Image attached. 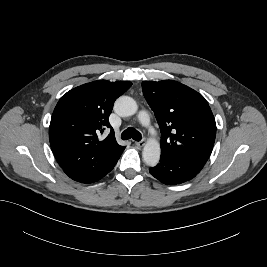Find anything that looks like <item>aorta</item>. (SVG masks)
Returning <instances> with one entry per match:
<instances>
[{"label": "aorta", "instance_id": "1", "mask_svg": "<svg viewBox=\"0 0 267 267\" xmlns=\"http://www.w3.org/2000/svg\"><path fill=\"white\" fill-rule=\"evenodd\" d=\"M138 110L136 101L129 96H120L114 104V111L121 117L134 115ZM161 154L160 143L157 140L150 139L146 142L142 157L144 162L151 167L158 164Z\"/></svg>", "mask_w": 267, "mask_h": 267}]
</instances>
